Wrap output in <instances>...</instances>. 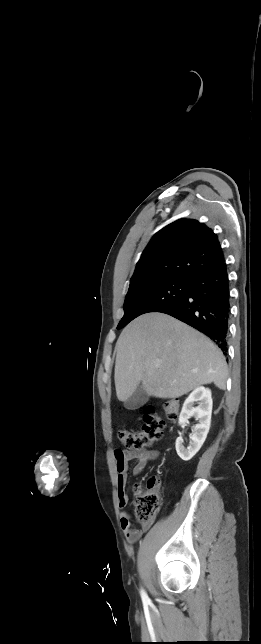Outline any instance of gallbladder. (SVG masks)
Segmentation results:
<instances>
[{"mask_svg":"<svg viewBox=\"0 0 261 644\" xmlns=\"http://www.w3.org/2000/svg\"><path fill=\"white\" fill-rule=\"evenodd\" d=\"M149 400V395L144 388L140 385L135 392L124 402V407L128 410H136L146 404Z\"/></svg>","mask_w":261,"mask_h":644,"instance_id":"1","label":"gallbladder"}]
</instances>
